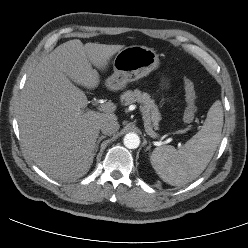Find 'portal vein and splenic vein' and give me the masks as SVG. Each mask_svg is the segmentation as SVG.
Returning a JSON list of instances; mask_svg holds the SVG:
<instances>
[{
    "instance_id": "18ae733b",
    "label": "portal vein and splenic vein",
    "mask_w": 248,
    "mask_h": 248,
    "mask_svg": "<svg viewBox=\"0 0 248 248\" xmlns=\"http://www.w3.org/2000/svg\"><path fill=\"white\" fill-rule=\"evenodd\" d=\"M99 110L100 111H103V112H107V113H111V112H114L116 110V106L114 105V103H111V102H107L105 104H102L100 105L99 107ZM141 112H142V115H143V119H145V114L142 110V107H141ZM145 130L147 132V134L152 137V138H157L158 135L152 130V128L150 126H148L147 124H145Z\"/></svg>"
}]
</instances>
